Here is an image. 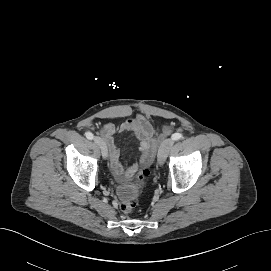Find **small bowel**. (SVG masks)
Listing matches in <instances>:
<instances>
[{
	"mask_svg": "<svg viewBox=\"0 0 271 271\" xmlns=\"http://www.w3.org/2000/svg\"><path fill=\"white\" fill-rule=\"evenodd\" d=\"M122 133H131L138 141L140 155L138 162L135 164L124 165L120 161V151L114 142L113 136ZM101 134L108 148L111 172L120 181L132 177L137 172L140 164L150 163L154 157L157 145L154 128L144 116L138 115L119 125L108 123L102 127Z\"/></svg>",
	"mask_w": 271,
	"mask_h": 271,
	"instance_id": "small-bowel-1",
	"label": "small bowel"
}]
</instances>
